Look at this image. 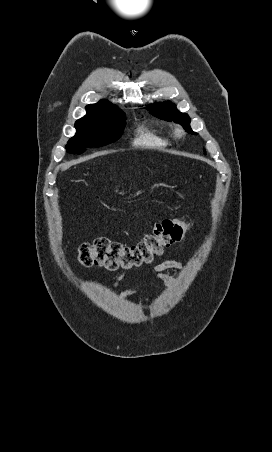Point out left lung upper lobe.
Listing matches in <instances>:
<instances>
[{"mask_svg": "<svg viewBox=\"0 0 272 452\" xmlns=\"http://www.w3.org/2000/svg\"><path fill=\"white\" fill-rule=\"evenodd\" d=\"M150 112L160 119L175 121L181 124L187 132L195 134L190 127V118L187 114L181 113L171 102L156 103L146 107Z\"/></svg>", "mask_w": 272, "mask_h": 452, "instance_id": "obj_1", "label": "left lung upper lobe"}]
</instances>
